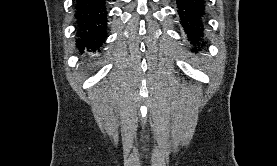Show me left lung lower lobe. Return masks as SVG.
<instances>
[{
  "label": "left lung lower lobe",
  "mask_w": 277,
  "mask_h": 166,
  "mask_svg": "<svg viewBox=\"0 0 277 166\" xmlns=\"http://www.w3.org/2000/svg\"><path fill=\"white\" fill-rule=\"evenodd\" d=\"M180 21L193 49L204 46V0H176Z\"/></svg>",
  "instance_id": "0a47b994"
}]
</instances>
